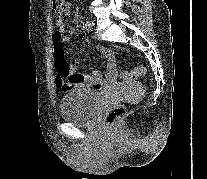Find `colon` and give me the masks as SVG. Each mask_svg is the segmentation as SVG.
Returning <instances> with one entry per match:
<instances>
[{"label": "colon", "instance_id": "obj_1", "mask_svg": "<svg viewBox=\"0 0 207 179\" xmlns=\"http://www.w3.org/2000/svg\"><path fill=\"white\" fill-rule=\"evenodd\" d=\"M53 9L57 16L63 17L68 9L67 0H52ZM54 66L56 70V81L58 87L63 91H70L80 78L71 73L70 66L64 57L63 35L59 30L53 34ZM146 74V68L136 67L132 71H124L122 77L126 81L134 80ZM124 105L113 106L106 115V122L109 126H117L126 115Z\"/></svg>", "mask_w": 207, "mask_h": 179}]
</instances>
